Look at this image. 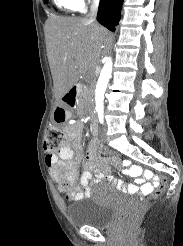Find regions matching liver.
I'll use <instances>...</instances> for the list:
<instances>
[{
    "instance_id": "obj_1",
    "label": "liver",
    "mask_w": 183,
    "mask_h": 246,
    "mask_svg": "<svg viewBox=\"0 0 183 246\" xmlns=\"http://www.w3.org/2000/svg\"><path fill=\"white\" fill-rule=\"evenodd\" d=\"M106 35L104 27L87 19L55 15L48 18L46 48L56 99L77 83L79 74L96 66Z\"/></svg>"
}]
</instances>
